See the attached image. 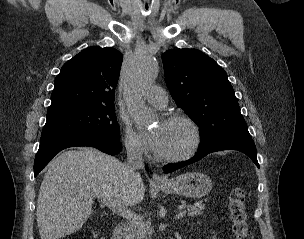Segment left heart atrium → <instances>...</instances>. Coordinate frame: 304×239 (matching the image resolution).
Here are the masks:
<instances>
[{"label":"left heart atrium","mask_w":304,"mask_h":239,"mask_svg":"<svg viewBox=\"0 0 304 239\" xmlns=\"http://www.w3.org/2000/svg\"><path fill=\"white\" fill-rule=\"evenodd\" d=\"M163 128L143 135L145 145L154 152H159L163 141Z\"/></svg>","instance_id":"left-heart-atrium-1"}]
</instances>
